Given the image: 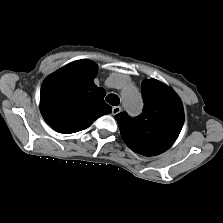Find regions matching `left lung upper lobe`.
Listing matches in <instances>:
<instances>
[{"label": "left lung upper lobe", "instance_id": "obj_1", "mask_svg": "<svg viewBox=\"0 0 223 223\" xmlns=\"http://www.w3.org/2000/svg\"><path fill=\"white\" fill-rule=\"evenodd\" d=\"M141 91L142 114L131 118L122 112L115 118L122 139L130 149L144 156H154L175 142L184 123V111L179 97L156 79L144 80Z\"/></svg>", "mask_w": 223, "mask_h": 223}]
</instances>
